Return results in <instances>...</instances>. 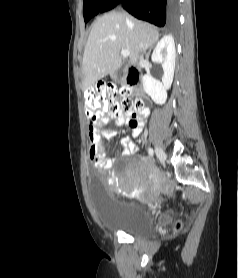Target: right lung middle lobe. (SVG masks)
Instances as JSON below:
<instances>
[{
    "label": "right lung middle lobe",
    "mask_w": 238,
    "mask_h": 278,
    "mask_svg": "<svg viewBox=\"0 0 238 278\" xmlns=\"http://www.w3.org/2000/svg\"><path fill=\"white\" fill-rule=\"evenodd\" d=\"M104 0H85L83 4L84 21L88 22L96 13Z\"/></svg>",
    "instance_id": "right-lung-middle-lobe-1"
}]
</instances>
